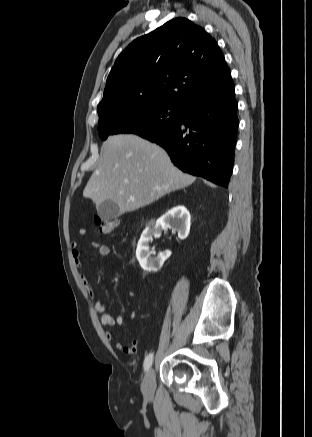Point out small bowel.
<instances>
[{
    "instance_id": "small-bowel-1",
    "label": "small bowel",
    "mask_w": 312,
    "mask_h": 437,
    "mask_svg": "<svg viewBox=\"0 0 312 437\" xmlns=\"http://www.w3.org/2000/svg\"><path fill=\"white\" fill-rule=\"evenodd\" d=\"M78 234H79V236L83 237L86 234V230L81 228V229H79ZM92 246L96 249L99 257H107L111 253V248L106 244H100L98 242H93ZM71 253H72V257H73L75 265L78 268H81L83 266V263L81 260V252L78 248V243L75 241L71 243ZM80 278H81V282H82L85 290L87 291L88 295L94 301L96 311L102 314L101 318H100L101 325L104 328H110V327L122 325L124 322L123 315L118 314V315L114 316V315L105 313V309H106L105 303L101 302L98 299L97 294H96L94 288L92 287L91 283L87 279V277L85 275H81ZM105 338L111 342V341H113L114 336L109 330H107L105 332ZM114 346L117 350L122 351L124 354L133 355L138 350L139 342H138V340H132L129 345H124L122 342L116 341L114 343Z\"/></svg>"
}]
</instances>
